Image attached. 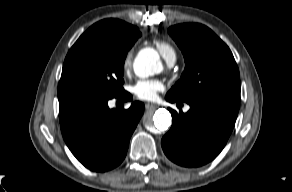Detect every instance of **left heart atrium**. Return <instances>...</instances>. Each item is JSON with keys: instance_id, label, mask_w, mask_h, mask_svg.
<instances>
[{"instance_id": "left-heart-atrium-1", "label": "left heart atrium", "mask_w": 292, "mask_h": 192, "mask_svg": "<svg viewBox=\"0 0 292 192\" xmlns=\"http://www.w3.org/2000/svg\"><path fill=\"white\" fill-rule=\"evenodd\" d=\"M163 88V83L157 79H140L132 85L131 90L141 100H154Z\"/></svg>"}]
</instances>
